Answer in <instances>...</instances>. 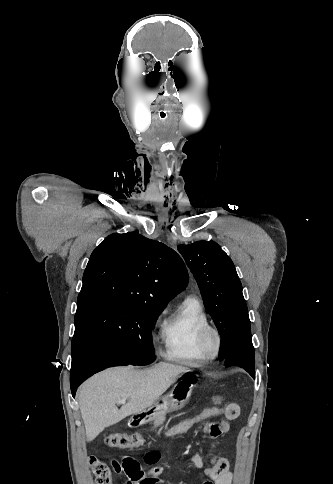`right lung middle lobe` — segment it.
I'll return each mask as SVG.
<instances>
[{
    "label": "right lung middle lobe",
    "mask_w": 333,
    "mask_h": 484,
    "mask_svg": "<svg viewBox=\"0 0 333 484\" xmlns=\"http://www.w3.org/2000/svg\"><path fill=\"white\" fill-rule=\"evenodd\" d=\"M161 310L143 305L96 301L77 305L71 352L81 336L93 334L113 346L133 365L155 361L151 331Z\"/></svg>",
    "instance_id": "right-lung-middle-lobe-1"
}]
</instances>
